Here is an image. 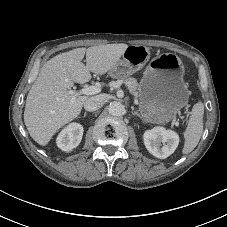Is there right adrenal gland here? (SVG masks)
Here are the masks:
<instances>
[{
    "instance_id": "2a0ac1e0",
    "label": "right adrenal gland",
    "mask_w": 227,
    "mask_h": 227,
    "mask_svg": "<svg viewBox=\"0 0 227 227\" xmlns=\"http://www.w3.org/2000/svg\"><path fill=\"white\" fill-rule=\"evenodd\" d=\"M87 115V112H84V116H86Z\"/></svg>"
}]
</instances>
